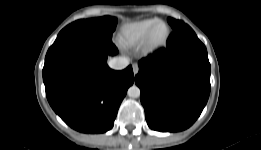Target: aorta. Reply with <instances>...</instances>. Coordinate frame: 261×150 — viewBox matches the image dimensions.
<instances>
[{"instance_id":"aorta-1","label":"aorta","mask_w":261,"mask_h":150,"mask_svg":"<svg viewBox=\"0 0 261 150\" xmlns=\"http://www.w3.org/2000/svg\"><path fill=\"white\" fill-rule=\"evenodd\" d=\"M127 94L129 97L138 98L140 96V89L136 85H133L128 89Z\"/></svg>"}]
</instances>
